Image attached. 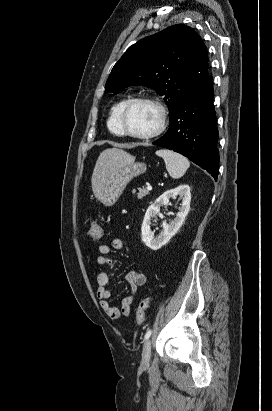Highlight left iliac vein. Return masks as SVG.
<instances>
[{
    "label": "left iliac vein",
    "instance_id": "obj_1",
    "mask_svg": "<svg viewBox=\"0 0 272 411\" xmlns=\"http://www.w3.org/2000/svg\"><path fill=\"white\" fill-rule=\"evenodd\" d=\"M151 354V341L147 339L143 344L141 364L146 366L149 364Z\"/></svg>",
    "mask_w": 272,
    "mask_h": 411
}]
</instances>
